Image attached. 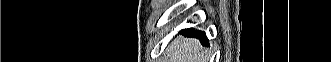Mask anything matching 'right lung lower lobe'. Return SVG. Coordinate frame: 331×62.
<instances>
[{"label":"right lung lower lobe","mask_w":331,"mask_h":62,"mask_svg":"<svg viewBox=\"0 0 331 62\" xmlns=\"http://www.w3.org/2000/svg\"><path fill=\"white\" fill-rule=\"evenodd\" d=\"M184 34L186 36L199 38L204 45L208 44V39L206 38V35H205L204 32L197 31V30H194V29L190 28V29L184 30Z\"/></svg>","instance_id":"right-lung-lower-lobe-1"}]
</instances>
